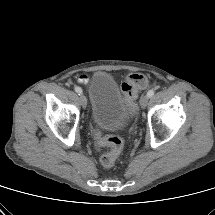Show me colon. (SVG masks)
Here are the masks:
<instances>
[{"instance_id": "colon-1", "label": "colon", "mask_w": 215, "mask_h": 215, "mask_svg": "<svg viewBox=\"0 0 215 215\" xmlns=\"http://www.w3.org/2000/svg\"><path fill=\"white\" fill-rule=\"evenodd\" d=\"M147 84V78L139 73L131 74L127 80L122 83L121 91L130 114H134L137 111L136 100L138 92L144 89ZM95 137L100 146L108 148V151L100 158L101 165L105 168L112 167L123 149V140L115 135H102L98 131L95 133Z\"/></svg>"}]
</instances>
